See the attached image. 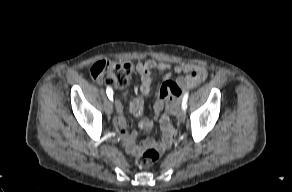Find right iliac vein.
Returning <instances> with one entry per match:
<instances>
[{"label":"right iliac vein","instance_id":"obj_1","mask_svg":"<svg viewBox=\"0 0 292 192\" xmlns=\"http://www.w3.org/2000/svg\"><path fill=\"white\" fill-rule=\"evenodd\" d=\"M105 112L110 115L112 113V102L107 101L105 104Z\"/></svg>","mask_w":292,"mask_h":192}]
</instances>
